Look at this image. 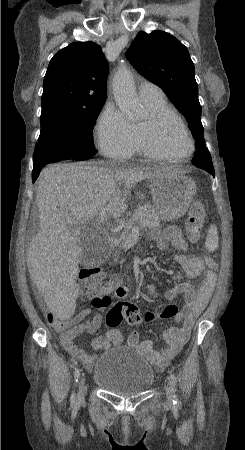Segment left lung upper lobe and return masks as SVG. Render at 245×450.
<instances>
[{
	"mask_svg": "<svg viewBox=\"0 0 245 450\" xmlns=\"http://www.w3.org/2000/svg\"><path fill=\"white\" fill-rule=\"evenodd\" d=\"M126 57L139 73L158 85L186 117L196 145L205 146L194 64L187 48L169 33L139 32ZM196 156L192 160L195 166L209 168L213 165L209 151L204 159Z\"/></svg>",
	"mask_w": 245,
	"mask_h": 450,
	"instance_id": "obj_1",
	"label": "left lung upper lobe"
}]
</instances>
